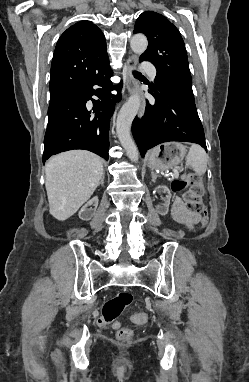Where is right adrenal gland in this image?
Listing matches in <instances>:
<instances>
[{"label": "right adrenal gland", "mask_w": 249, "mask_h": 382, "mask_svg": "<svg viewBox=\"0 0 249 382\" xmlns=\"http://www.w3.org/2000/svg\"><path fill=\"white\" fill-rule=\"evenodd\" d=\"M104 179H105V172L103 171V175L101 177V181H100V184L103 185L104 184Z\"/></svg>", "instance_id": "obj_1"}]
</instances>
